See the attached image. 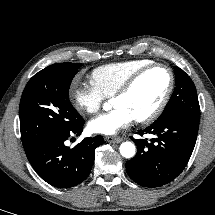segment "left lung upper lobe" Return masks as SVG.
<instances>
[{"mask_svg": "<svg viewBox=\"0 0 215 215\" xmlns=\"http://www.w3.org/2000/svg\"><path fill=\"white\" fill-rule=\"evenodd\" d=\"M174 70L176 87L163 113L156 121L171 117H184L199 121L200 106L195 85L182 69L174 67Z\"/></svg>", "mask_w": 215, "mask_h": 215, "instance_id": "5c2ea615", "label": "left lung upper lobe"}]
</instances>
